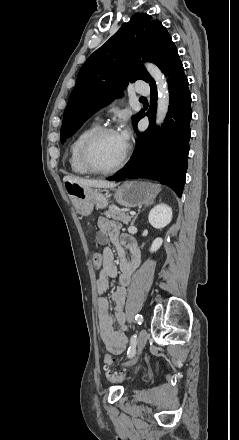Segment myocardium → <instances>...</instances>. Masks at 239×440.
Returning <instances> with one entry per match:
<instances>
[{
    "instance_id": "1",
    "label": "myocardium",
    "mask_w": 239,
    "mask_h": 440,
    "mask_svg": "<svg viewBox=\"0 0 239 440\" xmlns=\"http://www.w3.org/2000/svg\"><path fill=\"white\" fill-rule=\"evenodd\" d=\"M117 132L115 128L112 126H102L96 128L83 142L81 149H80V159L83 164V166L92 174L96 175H111L114 173H117L120 171L128 161L130 157V146L127 145L125 152L118 162V164L111 168V169H101L98 168L91 160V149L94 143L103 135L108 133H115Z\"/></svg>"
}]
</instances>
